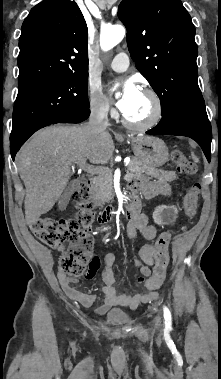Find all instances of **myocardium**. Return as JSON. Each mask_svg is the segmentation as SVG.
<instances>
[{
  "instance_id": "myocardium-1",
  "label": "myocardium",
  "mask_w": 221,
  "mask_h": 379,
  "mask_svg": "<svg viewBox=\"0 0 221 379\" xmlns=\"http://www.w3.org/2000/svg\"><path fill=\"white\" fill-rule=\"evenodd\" d=\"M142 93L148 96L150 100L152 101V105H153L152 113L150 117L143 122L131 121L123 114L122 122L128 128L135 129V130H148L156 126L162 118L163 105L158 93L151 88H145L142 91Z\"/></svg>"
}]
</instances>
